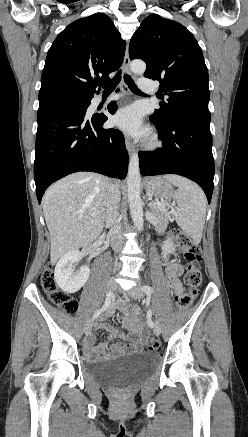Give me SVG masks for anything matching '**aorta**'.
<instances>
[{
	"instance_id": "aorta-1",
	"label": "aorta",
	"mask_w": 248,
	"mask_h": 437,
	"mask_svg": "<svg viewBox=\"0 0 248 437\" xmlns=\"http://www.w3.org/2000/svg\"><path fill=\"white\" fill-rule=\"evenodd\" d=\"M131 71L135 74H143L146 64L141 60H134L130 65ZM128 202L130 214L135 227L142 231L144 227L143 203L140 196L141 175L139 168V157L137 153L132 154L129 161L127 174Z\"/></svg>"
}]
</instances>
